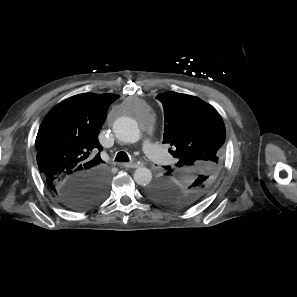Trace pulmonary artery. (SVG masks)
I'll return each instance as SVG.
<instances>
[{"instance_id": "e3ab8cb5", "label": "pulmonary artery", "mask_w": 297, "mask_h": 297, "mask_svg": "<svg viewBox=\"0 0 297 297\" xmlns=\"http://www.w3.org/2000/svg\"><path fill=\"white\" fill-rule=\"evenodd\" d=\"M142 149L154 161L158 163L168 162V156L162 146L145 140L142 144Z\"/></svg>"}]
</instances>
